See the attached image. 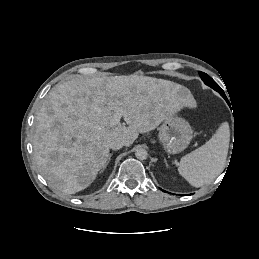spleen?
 Instances as JSON below:
<instances>
[{
  "label": "spleen",
  "instance_id": "1",
  "mask_svg": "<svg viewBox=\"0 0 259 259\" xmlns=\"http://www.w3.org/2000/svg\"><path fill=\"white\" fill-rule=\"evenodd\" d=\"M230 142V129L224 122L204 145L181 158L179 174L192 186L212 182L224 169Z\"/></svg>",
  "mask_w": 259,
  "mask_h": 259
}]
</instances>
